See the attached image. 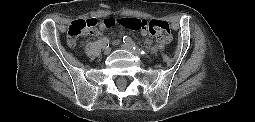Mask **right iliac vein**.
Wrapping results in <instances>:
<instances>
[{
	"mask_svg": "<svg viewBox=\"0 0 255 122\" xmlns=\"http://www.w3.org/2000/svg\"><path fill=\"white\" fill-rule=\"evenodd\" d=\"M110 52H111V48L110 47H107V48L104 49V54L105 55H108Z\"/></svg>",
	"mask_w": 255,
	"mask_h": 122,
	"instance_id": "obj_1",
	"label": "right iliac vein"
}]
</instances>
